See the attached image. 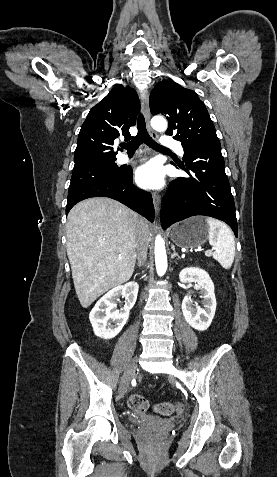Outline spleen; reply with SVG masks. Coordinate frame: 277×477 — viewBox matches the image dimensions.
I'll use <instances>...</instances> for the list:
<instances>
[{"label":"spleen","instance_id":"3e777b00","mask_svg":"<svg viewBox=\"0 0 277 477\" xmlns=\"http://www.w3.org/2000/svg\"><path fill=\"white\" fill-rule=\"evenodd\" d=\"M209 226V243L213 246V258L224 269H230L235 256V240L232 231L223 222L206 218Z\"/></svg>","mask_w":277,"mask_h":477}]
</instances>
